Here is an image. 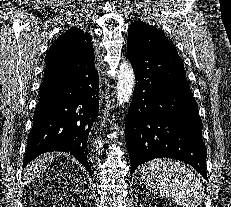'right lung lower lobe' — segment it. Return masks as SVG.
I'll return each mask as SVG.
<instances>
[{
    "label": "right lung lower lobe",
    "mask_w": 231,
    "mask_h": 207,
    "mask_svg": "<svg viewBox=\"0 0 231 207\" xmlns=\"http://www.w3.org/2000/svg\"><path fill=\"white\" fill-rule=\"evenodd\" d=\"M94 58L73 70L45 69L23 167L42 153L69 152L92 175L87 141L99 110Z\"/></svg>",
    "instance_id": "obj_1"
}]
</instances>
